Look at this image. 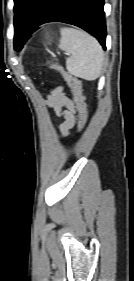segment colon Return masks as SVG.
Returning <instances> with one entry per match:
<instances>
[{
	"label": "colon",
	"mask_w": 134,
	"mask_h": 281,
	"mask_svg": "<svg viewBox=\"0 0 134 281\" xmlns=\"http://www.w3.org/2000/svg\"><path fill=\"white\" fill-rule=\"evenodd\" d=\"M48 67L50 69L60 72L62 74L64 80L66 81L67 85L70 87V89L73 93V97L75 100L76 109H77L78 117H79L78 118V128H79V130H81L84 127L86 120H87V106H86V102H85L84 95L82 92L81 82L76 77H74L69 72H67L58 63L50 62V63H48Z\"/></svg>",
	"instance_id": "colon-1"
}]
</instances>
